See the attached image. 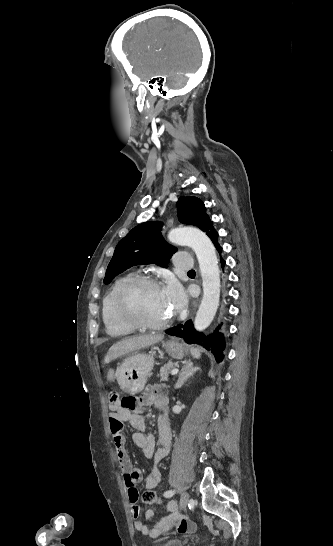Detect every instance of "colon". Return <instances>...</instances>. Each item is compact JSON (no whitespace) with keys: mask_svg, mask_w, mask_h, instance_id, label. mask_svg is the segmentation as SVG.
<instances>
[{"mask_svg":"<svg viewBox=\"0 0 333 546\" xmlns=\"http://www.w3.org/2000/svg\"><path fill=\"white\" fill-rule=\"evenodd\" d=\"M110 403L113 406L121 405L122 407L127 408H134L135 407V399L133 397H125L122 399V401H119V398L117 395H112L110 399ZM158 496L153 490H146L142 494V501L145 504H155L158 502Z\"/></svg>","mask_w":333,"mask_h":546,"instance_id":"1","label":"colon"}]
</instances>
